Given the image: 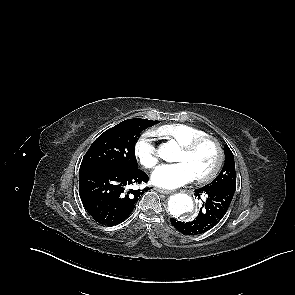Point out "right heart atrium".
I'll return each mask as SVG.
<instances>
[{"label": "right heart atrium", "mask_w": 295, "mask_h": 295, "mask_svg": "<svg viewBox=\"0 0 295 295\" xmlns=\"http://www.w3.org/2000/svg\"><path fill=\"white\" fill-rule=\"evenodd\" d=\"M153 132H145L135 144V155L146 169H153L159 162V153L154 144Z\"/></svg>", "instance_id": "right-heart-atrium-1"}]
</instances>
